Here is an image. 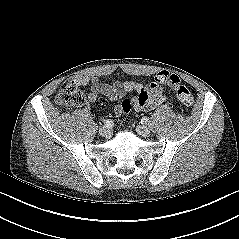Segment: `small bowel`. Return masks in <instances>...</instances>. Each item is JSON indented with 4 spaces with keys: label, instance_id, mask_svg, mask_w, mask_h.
I'll use <instances>...</instances> for the list:
<instances>
[{
    "label": "small bowel",
    "instance_id": "obj_1",
    "mask_svg": "<svg viewBox=\"0 0 239 239\" xmlns=\"http://www.w3.org/2000/svg\"><path fill=\"white\" fill-rule=\"evenodd\" d=\"M75 81L80 85H90L91 92L89 101L95 102L99 94L105 95L109 100L117 102L124 94L136 92L133 98L135 110L150 111L166 100L164 89L156 82L140 83L137 81H112L104 82L96 77L81 75L76 77ZM120 111L119 106L115 107V112Z\"/></svg>",
    "mask_w": 239,
    "mask_h": 239
}]
</instances>
